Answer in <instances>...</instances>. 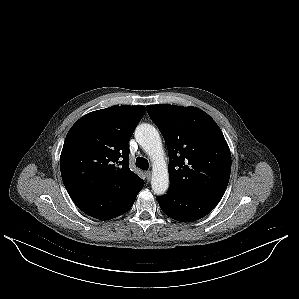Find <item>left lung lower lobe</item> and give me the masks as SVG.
Masks as SVG:
<instances>
[{
  "label": "left lung lower lobe",
  "instance_id": "left-lung-lower-lobe-1",
  "mask_svg": "<svg viewBox=\"0 0 299 299\" xmlns=\"http://www.w3.org/2000/svg\"><path fill=\"white\" fill-rule=\"evenodd\" d=\"M222 196L198 192H168L158 197L162 211L169 217L191 222L211 212Z\"/></svg>",
  "mask_w": 299,
  "mask_h": 299
}]
</instances>
